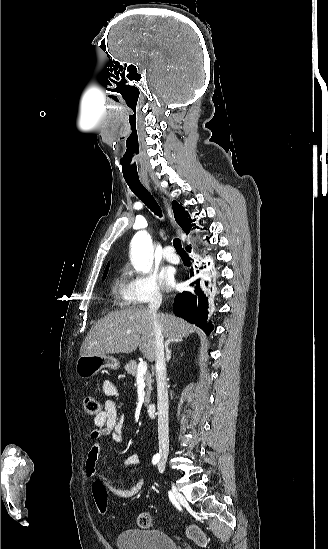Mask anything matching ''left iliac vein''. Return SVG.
Instances as JSON below:
<instances>
[{
	"label": "left iliac vein",
	"mask_w": 328,
	"mask_h": 549,
	"mask_svg": "<svg viewBox=\"0 0 328 549\" xmlns=\"http://www.w3.org/2000/svg\"><path fill=\"white\" fill-rule=\"evenodd\" d=\"M158 470H159V472H161V473L164 471V464H163L162 462H160V463L158 464Z\"/></svg>",
	"instance_id": "left-iliac-vein-1"
}]
</instances>
